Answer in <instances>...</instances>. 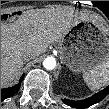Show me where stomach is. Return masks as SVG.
Instances as JSON below:
<instances>
[{"mask_svg": "<svg viewBox=\"0 0 109 109\" xmlns=\"http://www.w3.org/2000/svg\"><path fill=\"white\" fill-rule=\"evenodd\" d=\"M62 61L74 73L89 72L109 61L106 30L90 20H81L59 40Z\"/></svg>", "mask_w": 109, "mask_h": 109, "instance_id": "1", "label": "stomach"}]
</instances>
